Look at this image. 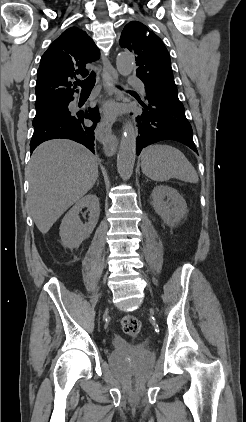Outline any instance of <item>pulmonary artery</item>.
<instances>
[{
	"label": "pulmonary artery",
	"instance_id": "pulmonary-artery-1",
	"mask_svg": "<svg viewBox=\"0 0 246 422\" xmlns=\"http://www.w3.org/2000/svg\"><path fill=\"white\" fill-rule=\"evenodd\" d=\"M127 81L130 85L135 87L138 91H140L143 94L145 93L144 84L142 83V81L137 76L130 75V76H128Z\"/></svg>",
	"mask_w": 246,
	"mask_h": 422
}]
</instances>
